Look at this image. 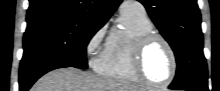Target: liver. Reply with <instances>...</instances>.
I'll list each match as a JSON object with an SVG mask.
<instances>
[{
  "instance_id": "liver-1",
  "label": "liver",
  "mask_w": 220,
  "mask_h": 91,
  "mask_svg": "<svg viewBox=\"0 0 220 91\" xmlns=\"http://www.w3.org/2000/svg\"><path fill=\"white\" fill-rule=\"evenodd\" d=\"M30 91H141L126 81L60 68L42 76Z\"/></svg>"
}]
</instances>
